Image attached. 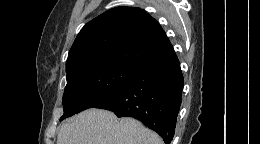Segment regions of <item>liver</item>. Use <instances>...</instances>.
<instances>
[{"label":"liver","mask_w":260,"mask_h":144,"mask_svg":"<svg viewBox=\"0 0 260 144\" xmlns=\"http://www.w3.org/2000/svg\"><path fill=\"white\" fill-rule=\"evenodd\" d=\"M57 144H163V140L133 118L118 119L110 111L91 108L61 125Z\"/></svg>","instance_id":"liver-1"}]
</instances>
